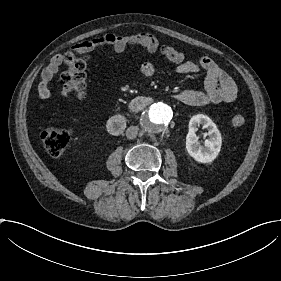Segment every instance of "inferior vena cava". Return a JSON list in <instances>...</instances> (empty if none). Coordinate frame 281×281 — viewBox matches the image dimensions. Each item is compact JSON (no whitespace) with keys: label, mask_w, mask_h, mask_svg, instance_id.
<instances>
[{"label":"inferior vena cava","mask_w":281,"mask_h":281,"mask_svg":"<svg viewBox=\"0 0 281 281\" xmlns=\"http://www.w3.org/2000/svg\"><path fill=\"white\" fill-rule=\"evenodd\" d=\"M138 130L139 128L137 126H130L127 130H126V137L128 139H134L137 137L138 134Z\"/></svg>","instance_id":"1"}]
</instances>
